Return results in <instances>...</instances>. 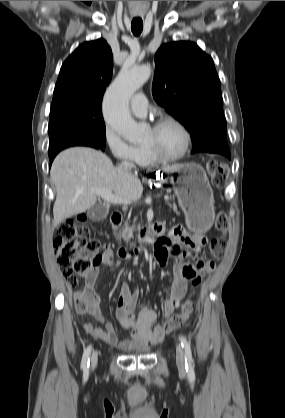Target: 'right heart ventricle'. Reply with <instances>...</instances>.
<instances>
[{
  "label": "right heart ventricle",
  "mask_w": 285,
  "mask_h": 418,
  "mask_svg": "<svg viewBox=\"0 0 285 418\" xmlns=\"http://www.w3.org/2000/svg\"><path fill=\"white\" fill-rule=\"evenodd\" d=\"M135 148H136V162L142 165H153L157 163L147 154L144 146H135Z\"/></svg>",
  "instance_id": "e07e8e85"
}]
</instances>
